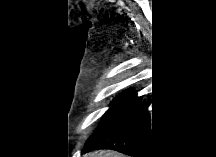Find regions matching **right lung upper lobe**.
<instances>
[{"instance_id": "obj_1", "label": "right lung upper lobe", "mask_w": 216, "mask_h": 157, "mask_svg": "<svg viewBox=\"0 0 216 157\" xmlns=\"http://www.w3.org/2000/svg\"><path fill=\"white\" fill-rule=\"evenodd\" d=\"M127 92H133V90H132V89H130V90H128Z\"/></svg>"}]
</instances>
